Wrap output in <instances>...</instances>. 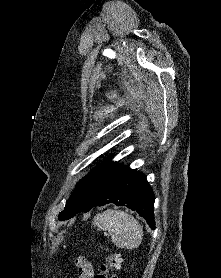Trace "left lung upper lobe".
<instances>
[{
	"mask_svg": "<svg viewBox=\"0 0 221 278\" xmlns=\"http://www.w3.org/2000/svg\"><path fill=\"white\" fill-rule=\"evenodd\" d=\"M110 157L106 158L105 161L99 166L95 167L91 172H89L84 178H82L76 185V188L72 195L70 196L69 200L66 203L64 210L59 215V220H65L72 212L73 207L75 206L77 200L93 179V177L110 161Z\"/></svg>",
	"mask_w": 221,
	"mask_h": 278,
	"instance_id": "obj_1",
	"label": "left lung upper lobe"
}]
</instances>
